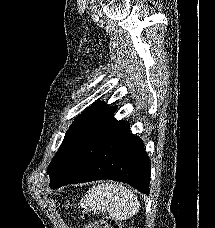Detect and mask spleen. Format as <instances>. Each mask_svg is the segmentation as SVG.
Listing matches in <instances>:
<instances>
[{"label":"spleen","mask_w":215,"mask_h":228,"mask_svg":"<svg viewBox=\"0 0 215 228\" xmlns=\"http://www.w3.org/2000/svg\"><path fill=\"white\" fill-rule=\"evenodd\" d=\"M81 206L89 208L92 212H104L115 220H129L137 214L139 202L131 192L122 184H98L87 192V196L81 200Z\"/></svg>","instance_id":"spleen-1"}]
</instances>
